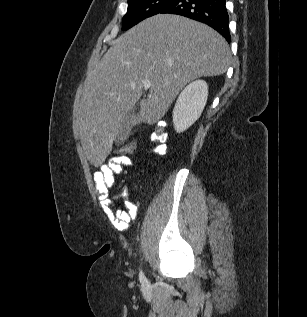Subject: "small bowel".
I'll use <instances>...</instances> for the list:
<instances>
[{"mask_svg":"<svg viewBox=\"0 0 307 317\" xmlns=\"http://www.w3.org/2000/svg\"><path fill=\"white\" fill-rule=\"evenodd\" d=\"M133 166V161L129 156L115 155L104 163L94 173V186L99 195L100 204L113 227L119 231H125L130 223L137 216V205L129 200L127 188H123L118 194L111 195L110 191L114 187L115 177L123 174L125 168ZM122 198L126 210L119 209L116 201Z\"/></svg>","mask_w":307,"mask_h":317,"instance_id":"small-bowel-1","label":"small bowel"}]
</instances>
